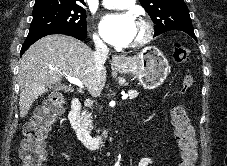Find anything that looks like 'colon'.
Masks as SVG:
<instances>
[{
  "label": "colon",
  "instance_id": "5ec220e1",
  "mask_svg": "<svg viewBox=\"0 0 227 166\" xmlns=\"http://www.w3.org/2000/svg\"><path fill=\"white\" fill-rule=\"evenodd\" d=\"M188 59V49L177 43L174 47V60L177 63H186ZM193 82V75L190 73L185 74L181 93L185 94ZM65 104V97L58 92H54L45 99L43 104L36 109L31 120L26 123L24 139L20 147L22 166H43L46 156L45 140L47 134L63 113ZM171 120L180 148L181 160L179 166H194L197 158L195 132L183 105H175L172 108Z\"/></svg>",
  "mask_w": 227,
  "mask_h": 166
}]
</instances>
